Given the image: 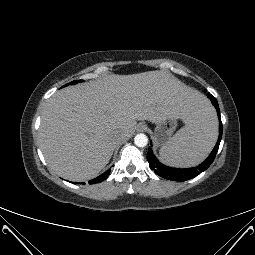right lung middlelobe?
<instances>
[{
    "label": "right lung middle lobe",
    "instance_id": "right-lung-middle-lobe-1",
    "mask_svg": "<svg viewBox=\"0 0 255 255\" xmlns=\"http://www.w3.org/2000/svg\"><path fill=\"white\" fill-rule=\"evenodd\" d=\"M78 82H82V80H76V81L70 82V83H68V84L64 85V87H65V86H67V85H73V84H76V83H78Z\"/></svg>",
    "mask_w": 255,
    "mask_h": 255
}]
</instances>
